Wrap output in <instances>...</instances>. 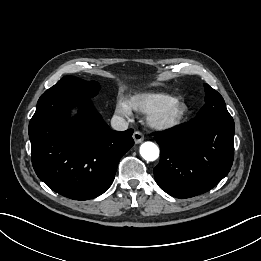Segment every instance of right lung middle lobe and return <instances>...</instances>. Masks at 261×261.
Here are the masks:
<instances>
[{
	"label": "right lung middle lobe",
	"instance_id": "dd1d6c3e",
	"mask_svg": "<svg viewBox=\"0 0 261 261\" xmlns=\"http://www.w3.org/2000/svg\"><path fill=\"white\" fill-rule=\"evenodd\" d=\"M100 86L95 81H84L74 76H65L43 95H66L90 99L97 95Z\"/></svg>",
	"mask_w": 261,
	"mask_h": 261
}]
</instances>
